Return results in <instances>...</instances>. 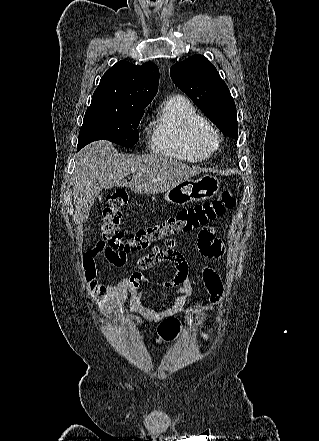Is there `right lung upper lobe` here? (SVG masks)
Returning a JSON list of instances; mask_svg holds the SVG:
<instances>
[{
	"mask_svg": "<svg viewBox=\"0 0 319 441\" xmlns=\"http://www.w3.org/2000/svg\"><path fill=\"white\" fill-rule=\"evenodd\" d=\"M159 70L152 62L141 66L119 61L102 76L90 106H147L158 91Z\"/></svg>",
	"mask_w": 319,
	"mask_h": 441,
	"instance_id": "cb5924a9",
	"label": "right lung upper lobe"
}]
</instances>
